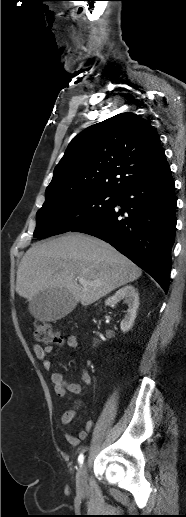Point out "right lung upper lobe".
<instances>
[{
	"mask_svg": "<svg viewBox=\"0 0 186 517\" xmlns=\"http://www.w3.org/2000/svg\"><path fill=\"white\" fill-rule=\"evenodd\" d=\"M168 167L158 134L125 112L78 134L56 166L46 200L80 192L120 194Z\"/></svg>",
	"mask_w": 186,
	"mask_h": 517,
	"instance_id": "obj_1",
	"label": "right lung upper lobe"
}]
</instances>
